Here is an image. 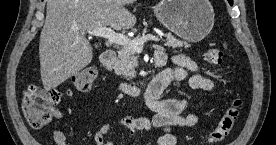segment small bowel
<instances>
[{
	"instance_id": "1",
	"label": "small bowel",
	"mask_w": 276,
	"mask_h": 145,
	"mask_svg": "<svg viewBox=\"0 0 276 145\" xmlns=\"http://www.w3.org/2000/svg\"><path fill=\"white\" fill-rule=\"evenodd\" d=\"M156 54H162L165 59L167 55L162 50H157ZM172 62L175 67L164 70L163 76L171 81L188 80L191 88L198 90H212L213 81L201 76L193 74L188 76V71H197L196 63L183 54L172 56ZM163 90H159L149 86L144 93V102L154 115L152 117H133L125 116L120 120V125L126 128L131 136H136L142 131L162 130L163 134L156 139V145H176L177 138L171 132L174 127H191L196 124L197 117L194 114L183 115L188 109V103L185 100L177 98L161 97ZM60 116H57L59 121ZM112 125L106 124L93 134V140L96 145H113L107 140V135ZM53 140L56 145H67V136L61 129H55L53 132ZM153 143L149 142L147 145Z\"/></svg>"
}]
</instances>
